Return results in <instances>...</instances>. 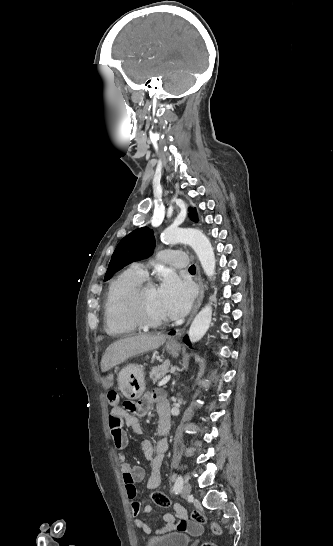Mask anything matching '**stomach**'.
<instances>
[{
    "label": "stomach",
    "instance_id": "1",
    "mask_svg": "<svg viewBox=\"0 0 333 546\" xmlns=\"http://www.w3.org/2000/svg\"><path fill=\"white\" fill-rule=\"evenodd\" d=\"M165 348L169 354L176 357L180 347L177 343L168 341ZM118 385L123 395L128 399H139L145 390L144 369L136 364H129L120 370Z\"/></svg>",
    "mask_w": 333,
    "mask_h": 546
}]
</instances>
